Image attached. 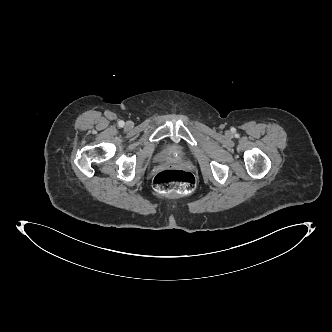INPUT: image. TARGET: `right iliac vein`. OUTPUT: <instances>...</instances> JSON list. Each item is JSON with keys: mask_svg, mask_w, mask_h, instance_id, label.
<instances>
[{"mask_svg": "<svg viewBox=\"0 0 332 332\" xmlns=\"http://www.w3.org/2000/svg\"><path fill=\"white\" fill-rule=\"evenodd\" d=\"M126 125H127V127H131L132 126V122L129 121V122L126 123Z\"/></svg>", "mask_w": 332, "mask_h": 332, "instance_id": "obj_1", "label": "right iliac vein"}]
</instances>
